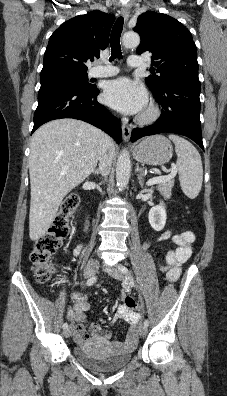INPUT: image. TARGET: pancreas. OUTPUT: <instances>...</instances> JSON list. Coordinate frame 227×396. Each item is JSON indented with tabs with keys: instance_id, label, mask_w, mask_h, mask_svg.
<instances>
[{
	"instance_id": "pancreas-1",
	"label": "pancreas",
	"mask_w": 227,
	"mask_h": 396,
	"mask_svg": "<svg viewBox=\"0 0 227 396\" xmlns=\"http://www.w3.org/2000/svg\"><path fill=\"white\" fill-rule=\"evenodd\" d=\"M174 186V179H169L166 182H162L157 186L158 191L164 198L169 199L171 197V190Z\"/></svg>"
}]
</instances>
